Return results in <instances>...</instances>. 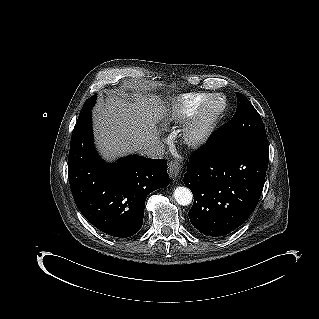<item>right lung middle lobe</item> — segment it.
<instances>
[{
	"instance_id": "obj_1",
	"label": "right lung middle lobe",
	"mask_w": 319,
	"mask_h": 319,
	"mask_svg": "<svg viewBox=\"0 0 319 319\" xmlns=\"http://www.w3.org/2000/svg\"><path fill=\"white\" fill-rule=\"evenodd\" d=\"M96 101V96L93 95L92 97H90L84 104L80 114H79V118L85 116L87 113H89L91 111V109L93 108L94 104ZM78 118V119H79Z\"/></svg>"
}]
</instances>
